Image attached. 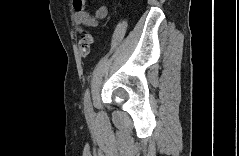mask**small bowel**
<instances>
[{"mask_svg": "<svg viewBox=\"0 0 239 156\" xmlns=\"http://www.w3.org/2000/svg\"><path fill=\"white\" fill-rule=\"evenodd\" d=\"M73 4L75 8L74 18L78 32L83 31L80 25L95 28L98 26L99 21L108 15V8L106 6H100L94 14H91L87 11L86 0H74Z\"/></svg>", "mask_w": 239, "mask_h": 156, "instance_id": "small-bowel-1", "label": "small bowel"}]
</instances>
